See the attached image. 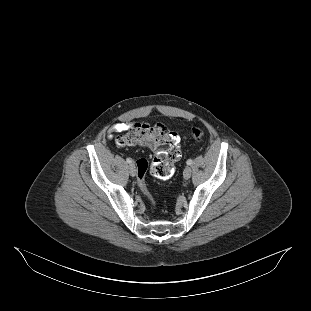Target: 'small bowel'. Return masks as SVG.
<instances>
[{
  "label": "small bowel",
  "instance_id": "small-bowel-1",
  "mask_svg": "<svg viewBox=\"0 0 311 311\" xmlns=\"http://www.w3.org/2000/svg\"><path fill=\"white\" fill-rule=\"evenodd\" d=\"M131 126H132L131 123H117L111 127L110 133L126 131ZM177 141H178V138H177Z\"/></svg>",
  "mask_w": 311,
  "mask_h": 311
}]
</instances>
